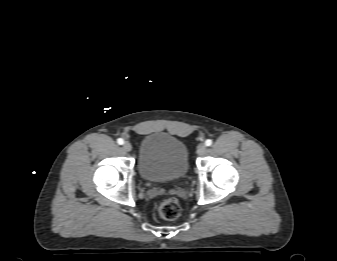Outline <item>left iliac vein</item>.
Returning <instances> with one entry per match:
<instances>
[{
  "instance_id": "1",
  "label": "left iliac vein",
  "mask_w": 337,
  "mask_h": 261,
  "mask_svg": "<svg viewBox=\"0 0 337 261\" xmlns=\"http://www.w3.org/2000/svg\"><path fill=\"white\" fill-rule=\"evenodd\" d=\"M207 150V147L204 143H201L197 146V154L198 155H203Z\"/></svg>"
}]
</instances>
